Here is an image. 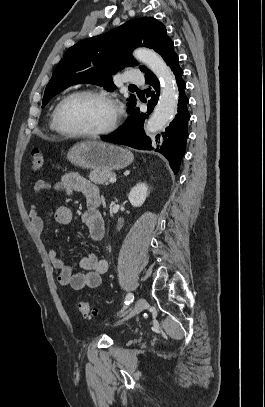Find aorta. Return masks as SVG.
Instances as JSON below:
<instances>
[{
    "mask_svg": "<svg viewBox=\"0 0 265 407\" xmlns=\"http://www.w3.org/2000/svg\"><path fill=\"white\" fill-rule=\"evenodd\" d=\"M133 55L145 63L161 81L159 101L146 124V132L155 133L164 128L177 111L178 89L175 76L161 56L154 51L144 48L137 49Z\"/></svg>",
    "mask_w": 265,
    "mask_h": 407,
    "instance_id": "obj_1",
    "label": "aorta"
}]
</instances>
